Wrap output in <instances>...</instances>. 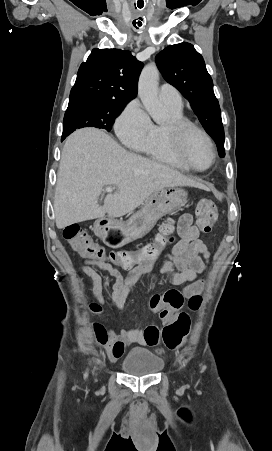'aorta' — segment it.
Returning <instances> with one entry per match:
<instances>
[{
  "label": "aorta",
  "mask_w": 272,
  "mask_h": 451,
  "mask_svg": "<svg viewBox=\"0 0 272 451\" xmlns=\"http://www.w3.org/2000/svg\"><path fill=\"white\" fill-rule=\"evenodd\" d=\"M158 84L159 70L156 64L151 62V64L144 66L140 74L138 96L154 122L162 124V122H167L168 116L163 114L161 110L162 104L158 98Z\"/></svg>",
  "instance_id": "762f6f07"
}]
</instances>
